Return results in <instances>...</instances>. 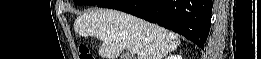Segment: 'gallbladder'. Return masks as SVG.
<instances>
[{"mask_svg":"<svg viewBox=\"0 0 261 59\" xmlns=\"http://www.w3.org/2000/svg\"><path fill=\"white\" fill-rule=\"evenodd\" d=\"M123 59H131V57L128 56V55H124V56H123Z\"/></svg>","mask_w":261,"mask_h":59,"instance_id":"gallbladder-1","label":"gallbladder"}]
</instances>
